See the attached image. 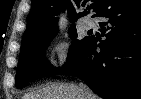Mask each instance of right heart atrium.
Segmentation results:
<instances>
[{
  "instance_id": "1",
  "label": "right heart atrium",
  "mask_w": 141,
  "mask_h": 99,
  "mask_svg": "<svg viewBox=\"0 0 141 99\" xmlns=\"http://www.w3.org/2000/svg\"><path fill=\"white\" fill-rule=\"evenodd\" d=\"M55 63L60 70H66L74 55V49L70 41L67 39H57L53 45Z\"/></svg>"
}]
</instances>
